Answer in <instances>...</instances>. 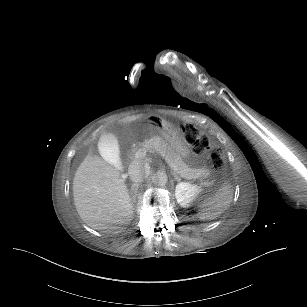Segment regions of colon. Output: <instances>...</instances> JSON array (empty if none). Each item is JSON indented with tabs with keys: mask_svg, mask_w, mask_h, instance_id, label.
I'll return each mask as SVG.
<instances>
[{
	"mask_svg": "<svg viewBox=\"0 0 307 307\" xmlns=\"http://www.w3.org/2000/svg\"><path fill=\"white\" fill-rule=\"evenodd\" d=\"M183 137L189 145L198 149L203 154L207 165L214 169L222 168L224 161L221 150L211 147L207 137L200 135L197 128L189 125L184 126Z\"/></svg>",
	"mask_w": 307,
	"mask_h": 307,
	"instance_id": "colon-1",
	"label": "colon"
}]
</instances>
